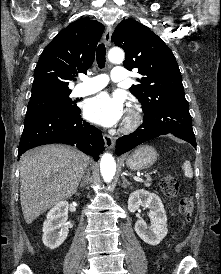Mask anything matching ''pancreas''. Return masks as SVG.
Returning a JSON list of instances; mask_svg holds the SVG:
<instances>
[{
    "label": "pancreas",
    "mask_w": 221,
    "mask_h": 274,
    "mask_svg": "<svg viewBox=\"0 0 221 274\" xmlns=\"http://www.w3.org/2000/svg\"><path fill=\"white\" fill-rule=\"evenodd\" d=\"M150 181H151L150 178L147 176V182L145 183V186H147V187L150 186L151 185Z\"/></svg>",
    "instance_id": "1"
}]
</instances>
